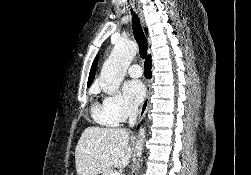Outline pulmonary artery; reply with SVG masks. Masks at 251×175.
Instances as JSON below:
<instances>
[{
    "mask_svg": "<svg viewBox=\"0 0 251 175\" xmlns=\"http://www.w3.org/2000/svg\"><path fill=\"white\" fill-rule=\"evenodd\" d=\"M127 71L132 77H139L143 74L142 68L137 63L130 65Z\"/></svg>",
    "mask_w": 251,
    "mask_h": 175,
    "instance_id": "1",
    "label": "pulmonary artery"
}]
</instances>
